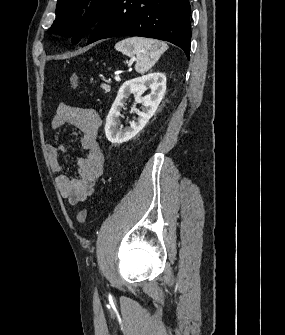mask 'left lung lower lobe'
I'll list each match as a JSON object with an SVG mask.
<instances>
[{
	"label": "left lung lower lobe",
	"mask_w": 285,
	"mask_h": 335,
	"mask_svg": "<svg viewBox=\"0 0 285 335\" xmlns=\"http://www.w3.org/2000/svg\"><path fill=\"white\" fill-rule=\"evenodd\" d=\"M189 0H113L95 24L87 44L116 36H141L171 42L189 59Z\"/></svg>",
	"instance_id": "0a47b994"
}]
</instances>
